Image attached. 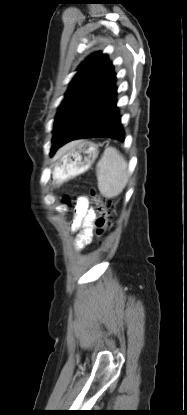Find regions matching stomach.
Returning a JSON list of instances; mask_svg holds the SVG:
<instances>
[{
    "instance_id": "stomach-1",
    "label": "stomach",
    "mask_w": 187,
    "mask_h": 415,
    "mask_svg": "<svg viewBox=\"0 0 187 415\" xmlns=\"http://www.w3.org/2000/svg\"><path fill=\"white\" fill-rule=\"evenodd\" d=\"M98 146L86 140L71 143L69 149L59 155L52 168L55 184H62L90 169L98 157Z\"/></svg>"
}]
</instances>
